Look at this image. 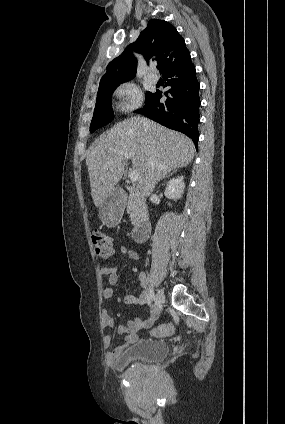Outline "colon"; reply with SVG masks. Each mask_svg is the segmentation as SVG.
Wrapping results in <instances>:
<instances>
[{
    "label": "colon",
    "instance_id": "1",
    "mask_svg": "<svg viewBox=\"0 0 285 424\" xmlns=\"http://www.w3.org/2000/svg\"><path fill=\"white\" fill-rule=\"evenodd\" d=\"M92 246L95 255L102 260H107L113 255V238L103 232L95 231L92 235ZM175 327L171 323H163L151 331L155 337H164L172 334Z\"/></svg>",
    "mask_w": 285,
    "mask_h": 424
}]
</instances>
